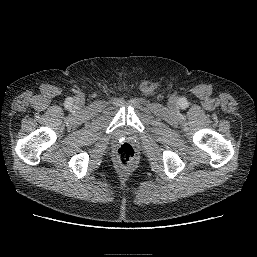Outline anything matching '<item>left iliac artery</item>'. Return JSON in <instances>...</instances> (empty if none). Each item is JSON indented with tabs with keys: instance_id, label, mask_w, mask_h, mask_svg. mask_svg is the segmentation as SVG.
Wrapping results in <instances>:
<instances>
[{
	"instance_id": "obj_1",
	"label": "left iliac artery",
	"mask_w": 257,
	"mask_h": 257,
	"mask_svg": "<svg viewBox=\"0 0 257 257\" xmlns=\"http://www.w3.org/2000/svg\"><path fill=\"white\" fill-rule=\"evenodd\" d=\"M181 102H182V103H184V102H185V100H181Z\"/></svg>"
}]
</instances>
